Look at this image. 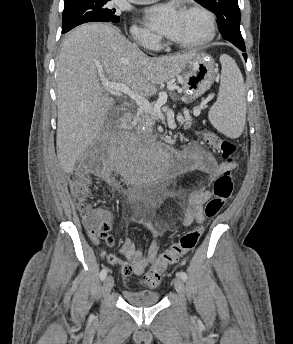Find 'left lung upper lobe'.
<instances>
[{
  "label": "left lung upper lobe",
  "mask_w": 293,
  "mask_h": 344,
  "mask_svg": "<svg viewBox=\"0 0 293 344\" xmlns=\"http://www.w3.org/2000/svg\"><path fill=\"white\" fill-rule=\"evenodd\" d=\"M218 17L219 30L225 40L235 46L244 45L240 32V9L238 0H195Z\"/></svg>",
  "instance_id": "left-lung-upper-lobe-1"
}]
</instances>
